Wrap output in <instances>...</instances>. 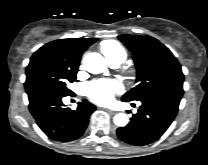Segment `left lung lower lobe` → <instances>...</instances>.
Segmentation results:
<instances>
[{"label":"left lung lower lobe","instance_id":"0a47b994","mask_svg":"<svg viewBox=\"0 0 208 165\" xmlns=\"http://www.w3.org/2000/svg\"><path fill=\"white\" fill-rule=\"evenodd\" d=\"M182 95V90L163 89L139 100L142 105L129 124L117 129L119 139L131 145L158 140L174 120Z\"/></svg>","mask_w":208,"mask_h":165}]
</instances>
